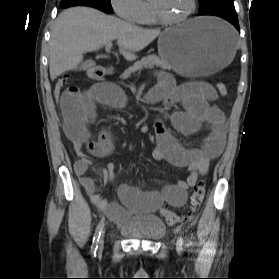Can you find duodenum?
<instances>
[{
  "label": "duodenum",
  "instance_id": "obj_1",
  "mask_svg": "<svg viewBox=\"0 0 279 279\" xmlns=\"http://www.w3.org/2000/svg\"><path fill=\"white\" fill-rule=\"evenodd\" d=\"M105 75H106V72H105L104 67H102V66H96L90 70V76L94 79H100ZM149 100H152V99L149 97Z\"/></svg>",
  "mask_w": 279,
  "mask_h": 279
}]
</instances>
